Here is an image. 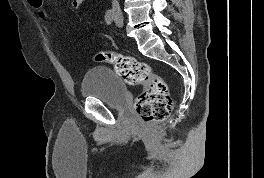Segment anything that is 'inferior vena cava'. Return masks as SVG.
Masks as SVG:
<instances>
[{
    "mask_svg": "<svg viewBox=\"0 0 264 178\" xmlns=\"http://www.w3.org/2000/svg\"><path fill=\"white\" fill-rule=\"evenodd\" d=\"M112 10L115 13H121L120 5L118 0H112Z\"/></svg>",
    "mask_w": 264,
    "mask_h": 178,
    "instance_id": "1",
    "label": "inferior vena cava"
}]
</instances>
